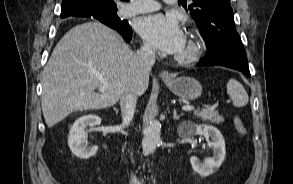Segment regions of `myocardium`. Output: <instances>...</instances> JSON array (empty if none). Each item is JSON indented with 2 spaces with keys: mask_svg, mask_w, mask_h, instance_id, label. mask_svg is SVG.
<instances>
[{
  "mask_svg": "<svg viewBox=\"0 0 293 184\" xmlns=\"http://www.w3.org/2000/svg\"><path fill=\"white\" fill-rule=\"evenodd\" d=\"M187 37L190 40L191 48L186 54H176L174 59L181 64H190L197 61L205 48L204 40L199 32L195 29H189L187 31Z\"/></svg>",
  "mask_w": 293,
  "mask_h": 184,
  "instance_id": "myocardium-1",
  "label": "myocardium"
}]
</instances>
